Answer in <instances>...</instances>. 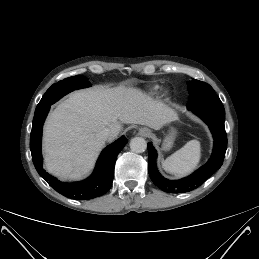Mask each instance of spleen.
Returning a JSON list of instances; mask_svg holds the SVG:
<instances>
[{
  "mask_svg": "<svg viewBox=\"0 0 259 259\" xmlns=\"http://www.w3.org/2000/svg\"><path fill=\"white\" fill-rule=\"evenodd\" d=\"M200 158V142L198 140H191L166 158L162 166L169 173L183 176L191 173L197 167Z\"/></svg>",
  "mask_w": 259,
  "mask_h": 259,
  "instance_id": "1",
  "label": "spleen"
}]
</instances>
